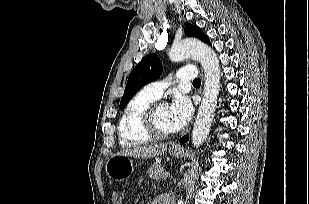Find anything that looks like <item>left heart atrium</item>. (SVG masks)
I'll list each match as a JSON object with an SVG mask.
<instances>
[{
    "label": "left heart atrium",
    "instance_id": "39dd6f15",
    "mask_svg": "<svg viewBox=\"0 0 309 204\" xmlns=\"http://www.w3.org/2000/svg\"><path fill=\"white\" fill-rule=\"evenodd\" d=\"M169 112L174 130H179L189 122L193 107L188 97L178 94L169 105Z\"/></svg>",
    "mask_w": 309,
    "mask_h": 204
}]
</instances>
